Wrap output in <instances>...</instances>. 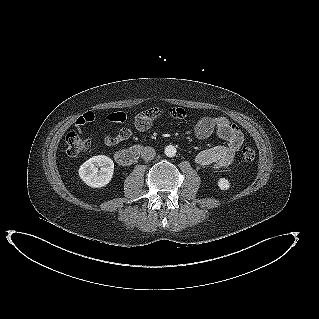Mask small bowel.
I'll use <instances>...</instances> for the list:
<instances>
[{
	"label": "small bowel",
	"mask_w": 319,
	"mask_h": 319,
	"mask_svg": "<svg viewBox=\"0 0 319 319\" xmlns=\"http://www.w3.org/2000/svg\"><path fill=\"white\" fill-rule=\"evenodd\" d=\"M162 115H168L173 119H183L187 116V112L182 107H173L168 110L153 107L135 117V128L139 131H147L152 127L154 120ZM93 120L94 114L92 112L85 113L77 119L76 128L81 130L85 124ZM194 134L198 139H206L212 134H216L226 142L225 145L203 150L195 156L194 161L197 165L213 166L217 169H227L234 164L236 155L244 141L242 131L223 116L200 118L194 127ZM131 136V129L122 128L114 135H106L105 143L108 146H114L128 140Z\"/></svg>",
	"instance_id": "small-bowel-1"
}]
</instances>
